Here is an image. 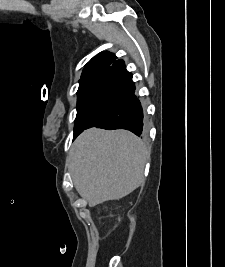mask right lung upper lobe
<instances>
[{"label": "right lung upper lobe", "mask_w": 225, "mask_h": 267, "mask_svg": "<svg viewBox=\"0 0 225 267\" xmlns=\"http://www.w3.org/2000/svg\"><path fill=\"white\" fill-rule=\"evenodd\" d=\"M116 60V56L110 52H101L93 57L85 66L81 80L97 79Z\"/></svg>", "instance_id": "right-lung-upper-lobe-1"}]
</instances>
